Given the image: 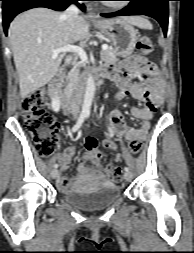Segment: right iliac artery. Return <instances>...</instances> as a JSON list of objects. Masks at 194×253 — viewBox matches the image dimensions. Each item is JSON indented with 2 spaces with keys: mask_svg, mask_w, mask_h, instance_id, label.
I'll return each mask as SVG.
<instances>
[{
  "mask_svg": "<svg viewBox=\"0 0 194 253\" xmlns=\"http://www.w3.org/2000/svg\"><path fill=\"white\" fill-rule=\"evenodd\" d=\"M88 116V112L87 111H83L79 118H78V121L76 122V124L72 127V132H76L83 124L85 118ZM54 168H58V164H55L54 165Z\"/></svg>",
  "mask_w": 194,
  "mask_h": 253,
  "instance_id": "right-iliac-artery-1",
  "label": "right iliac artery"
}]
</instances>
